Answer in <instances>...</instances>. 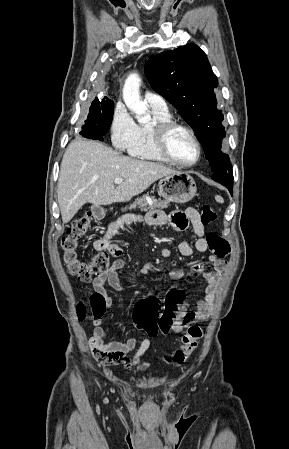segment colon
<instances>
[{"instance_id":"1","label":"colon","mask_w":289,"mask_h":449,"mask_svg":"<svg viewBox=\"0 0 289 449\" xmlns=\"http://www.w3.org/2000/svg\"><path fill=\"white\" fill-rule=\"evenodd\" d=\"M92 213L87 212L76 218L67 230L66 235L61 240V250L63 252V262L68 273L81 281H89L92 277L98 276L110 267V254L106 251H98L90 260L83 261L78 256V243L88 230L92 221ZM201 220L208 225L216 220V213L210 205L201 207ZM208 247L214 256L219 259L227 257L230 253V245L226 239L215 232L206 235ZM183 298L179 291L169 292L165 309L160 312L158 301L152 298L146 302H139L138 308L134 312V322L137 328L143 330L149 337H156L158 334L167 335L174 326L175 310ZM89 303L93 314L100 317L106 307L105 299L102 295L94 292L89 297ZM79 318L86 316V307L80 303L77 307ZM203 336V330L198 325L188 327L182 336V346L177 349L172 360L176 365H180L196 349L198 341Z\"/></svg>"}]
</instances>
